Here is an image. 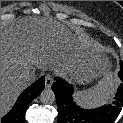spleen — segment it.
I'll list each match as a JSON object with an SVG mask.
<instances>
[{"instance_id":"obj_1","label":"spleen","mask_w":123,"mask_h":123,"mask_svg":"<svg viewBox=\"0 0 123 123\" xmlns=\"http://www.w3.org/2000/svg\"><path fill=\"white\" fill-rule=\"evenodd\" d=\"M118 84L119 81L113 73H106L96 86L76 92L74 99L81 107L94 108L101 106L111 101Z\"/></svg>"}]
</instances>
